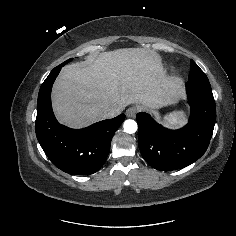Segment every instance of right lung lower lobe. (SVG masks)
Instances as JSON below:
<instances>
[{
    "instance_id": "1",
    "label": "right lung lower lobe",
    "mask_w": 236,
    "mask_h": 236,
    "mask_svg": "<svg viewBox=\"0 0 236 236\" xmlns=\"http://www.w3.org/2000/svg\"><path fill=\"white\" fill-rule=\"evenodd\" d=\"M63 66L55 67L41 85L37 101L36 136L50 161L69 174L90 175L105 163L121 114L87 128L70 129L57 122L51 107V89Z\"/></svg>"
}]
</instances>
